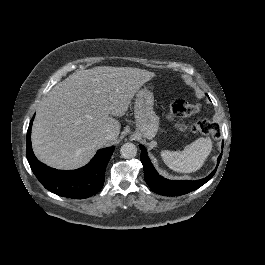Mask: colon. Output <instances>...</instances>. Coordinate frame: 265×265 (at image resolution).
I'll return each mask as SVG.
<instances>
[{
  "label": "colon",
  "mask_w": 265,
  "mask_h": 265,
  "mask_svg": "<svg viewBox=\"0 0 265 265\" xmlns=\"http://www.w3.org/2000/svg\"><path fill=\"white\" fill-rule=\"evenodd\" d=\"M200 110V104L197 102L189 103L185 100H175L170 106L168 117L171 119L185 118ZM195 133L203 134L216 138L219 136V127L208 119H200L193 125Z\"/></svg>",
  "instance_id": "obj_1"
}]
</instances>
